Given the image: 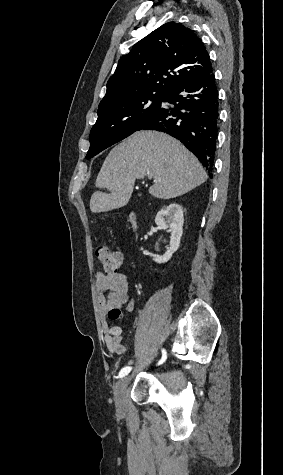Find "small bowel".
I'll return each instance as SVG.
<instances>
[{
    "label": "small bowel",
    "mask_w": 283,
    "mask_h": 475,
    "mask_svg": "<svg viewBox=\"0 0 283 475\" xmlns=\"http://www.w3.org/2000/svg\"><path fill=\"white\" fill-rule=\"evenodd\" d=\"M97 307L100 315L104 343L109 353L123 355V323L121 307L128 313L134 311L135 303L129 297V284L122 273L106 271L96 273Z\"/></svg>",
    "instance_id": "obj_1"
}]
</instances>
